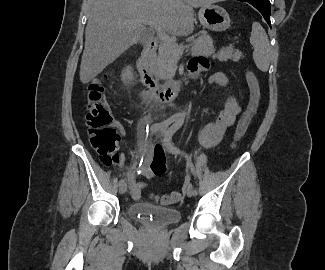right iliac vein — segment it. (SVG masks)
Masks as SVG:
<instances>
[{
    "instance_id": "63e3f726",
    "label": "right iliac vein",
    "mask_w": 325,
    "mask_h": 270,
    "mask_svg": "<svg viewBox=\"0 0 325 270\" xmlns=\"http://www.w3.org/2000/svg\"><path fill=\"white\" fill-rule=\"evenodd\" d=\"M126 190H127V184L124 182L123 184H121L119 186V193L124 194L126 192Z\"/></svg>"
}]
</instances>
